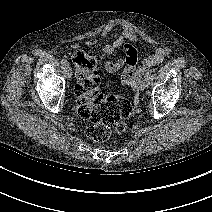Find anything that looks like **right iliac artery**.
Instances as JSON below:
<instances>
[{"label":"right iliac artery","mask_w":212,"mask_h":212,"mask_svg":"<svg viewBox=\"0 0 212 212\" xmlns=\"http://www.w3.org/2000/svg\"><path fill=\"white\" fill-rule=\"evenodd\" d=\"M61 64L64 65V66H67L68 65V61L66 59H62L61 60Z\"/></svg>","instance_id":"1"}]
</instances>
